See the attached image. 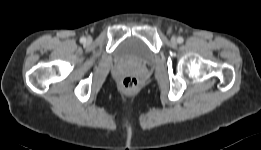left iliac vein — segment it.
I'll use <instances>...</instances> for the list:
<instances>
[{"label":"left iliac vein","instance_id":"obj_1","mask_svg":"<svg viewBox=\"0 0 261 150\" xmlns=\"http://www.w3.org/2000/svg\"><path fill=\"white\" fill-rule=\"evenodd\" d=\"M171 42L173 43V44H176L177 43V39H176V37H171Z\"/></svg>","mask_w":261,"mask_h":150}]
</instances>
